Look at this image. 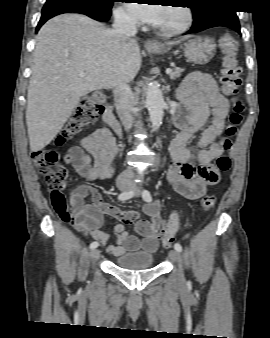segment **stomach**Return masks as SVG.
<instances>
[{
	"mask_svg": "<svg viewBox=\"0 0 270 338\" xmlns=\"http://www.w3.org/2000/svg\"><path fill=\"white\" fill-rule=\"evenodd\" d=\"M151 53L164 54L169 48L159 45L156 48H147ZM216 47L214 41L208 37H195L185 43L184 54L187 60L194 64H207L214 56Z\"/></svg>",
	"mask_w": 270,
	"mask_h": 338,
	"instance_id": "1",
	"label": "stomach"
}]
</instances>
